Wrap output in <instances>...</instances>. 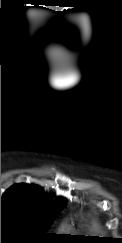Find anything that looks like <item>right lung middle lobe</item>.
Returning a JSON list of instances; mask_svg holds the SVG:
<instances>
[{
  "mask_svg": "<svg viewBox=\"0 0 122 243\" xmlns=\"http://www.w3.org/2000/svg\"><path fill=\"white\" fill-rule=\"evenodd\" d=\"M62 207L40 208L17 200H2L1 234L17 233L43 239Z\"/></svg>",
  "mask_w": 122,
  "mask_h": 243,
  "instance_id": "obj_1",
  "label": "right lung middle lobe"
}]
</instances>
